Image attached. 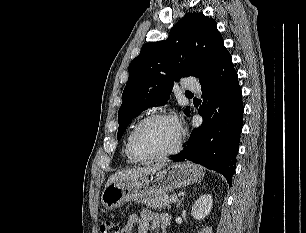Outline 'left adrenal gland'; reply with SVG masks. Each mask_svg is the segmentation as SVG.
I'll use <instances>...</instances> for the list:
<instances>
[{"mask_svg": "<svg viewBox=\"0 0 306 233\" xmlns=\"http://www.w3.org/2000/svg\"><path fill=\"white\" fill-rule=\"evenodd\" d=\"M182 201H183V198L178 202V204H177V208H179L180 207V205H181V203H182Z\"/></svg>", "mask_w": 306, "mask_h": 233, "instance_id": "1", "label": "left adrenal gland"}]
</instances>
